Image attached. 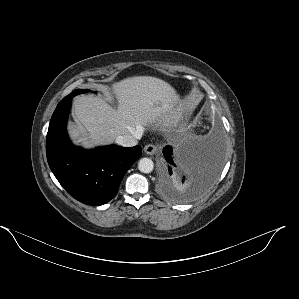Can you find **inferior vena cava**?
Returning <instances> with one entry per match:
<instances>
[{
  "label": "inferior vena cava",
  "mask_w": 299,
  "mask_h": 299,
  "mask_svg": "<svg viewBox=\"0 0 299 299\" xmlns=\"http://www.w3.org/2000/svg\"><path fill=\"white\" fill-rule=\"evenodd\" d=\"M141 136L138 130H132L131 134L118 136L115 142L123 147H132L137 145V139L141 138Z\"/></svg>",
  "instance_id": "602c4592"
}]
</instances>
